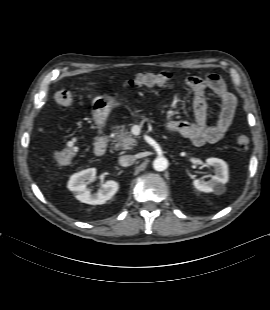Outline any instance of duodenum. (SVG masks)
<instances>
[{
  "label": "duodenum",
  "mask_w": 270,
  "mask_h": 310,
  "mask_svg": "<svg viewBox=\"0 0 270 310\" xmlns=\"http://www.w3.org/2000/svg\"><path fill=\"white\" fill-rule=\"evenodd\" d=\"M101 127H104V125H100V128ZM107 145H108V142H107V139L104 136V134H99V136L95 142V145H94V154L97 157L103 156L106 152Z\"/></svg>",
  "instance_id": "obj_1"
}]
</instances>
